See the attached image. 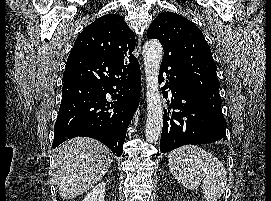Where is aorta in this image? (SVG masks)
Returning a JSON list of instances; mask_svg holds the SVG:
<instances>
[{
	"label": "aorta",
	"instance_id": "obj_1",
	"mask_svg": "<svg viewBox=\"0 0 271 201\" xmlns=\"http://www.w3.org/2000/svg\"><path fill=\"white\" fill-rule=\"evenodd\" d=\"M162 57L163 48L159 41L149 40L145 43L143 46L147 100L145 135L150 143L156 142L159 139L163 127V107L158 83Z\"/></svg>",
	"mask_w": 271,
	"mask_h": 201
}]
</instances>
